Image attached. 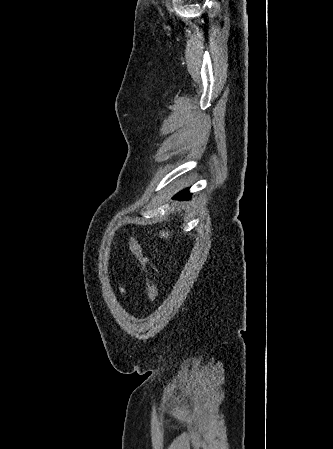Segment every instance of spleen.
<instances>
[{"instance_id": "3e777b00", "label": "spleen", "mask_w": 333, "mask_h": 449, "mask_svg": "<svg viewBox=\"0 0 333 449\" xmlns=\"http://www.w3.org/2000/svg\"><path fill=\"white\" fill-rule=\"evenodd\" d=\"M161 236H168V232H160Z\"/></svg>"}]
</instances>
